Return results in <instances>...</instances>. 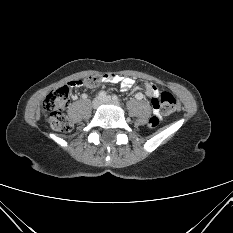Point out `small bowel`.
<instances>
[{"mask_svg":"<svg viewBox=\"0 0 233 233\" xmlns=\"http://www.w3.org/2000/svg\"><path fill=\"white\" fill-rule=\"evenodd\" d=\"M100 81L104 82V83H107V82L115 83V84L119 83L122 91L129 90L134 84V80L132 78L121 77L119 75H114V74L101 75ZM67 88H70L71 90L79 88L80 91H85L84 80L83 79L70 80L69 83H67ZM143 89H144L145 95L150 97L151 101L159 96L158 88L151 83H144ZM135 97L140 100L143 98V93L137 92ZM152 105H153V103H152ZM153 108H154L155 116L160 118L161 116H160L159 109L155 105H153Z\"/></svg>","mask_w":233,"mask_h":233,"instance_id":"obj_1","label":"small bowel"}]
</instances>
